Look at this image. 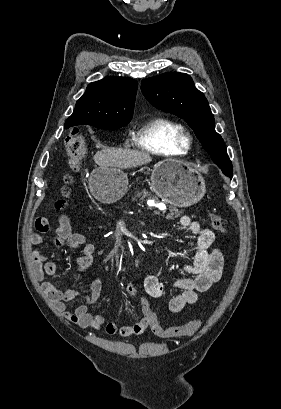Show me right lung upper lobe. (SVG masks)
Masks as SVG:
<instances>
[{
    "label": "right lung upper lobe",
    "instance_id": "obj_1",
    "mask_svg": "<svg viewBox=\"0 0 281 409\" xmlns=\"http://www.w3.org/2000/svg\"><path fill=\"white\" fill-rule=\"evenodd\" d=\"M137 85V81L126 77H106L90 83L66 120L65 128L83 124H128L133 115Z\"/></svg>",
    "mask_w": 281,
    "mask_h": 409
}]
</instances>
